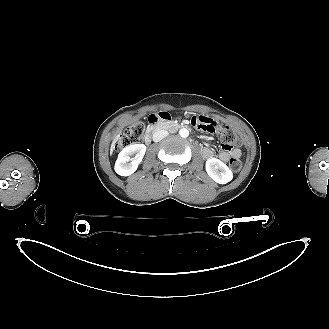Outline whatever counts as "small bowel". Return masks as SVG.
<instances>
[{"label":"small bowel","instance_id":"small-bowel-1","mask_svg":"<svg viewBox=\"0 0 329 329\" xmlns=\"http://www.w3.org/2000/svg\"><path fill=\"white\" fill-rule=\"evenodd\" d=\"M175 119H179V116H175ZM183 119L185 122L190 123L193 125L195 128L202 130L203 133L205 134H211L213 133L216 129L219 128L220 123L216 119H210L206 115H201L198 113H190L187 112L184 114ZM241 152L238 148H233V149H225L218 154V158L221 161H227L230 157H238L240 156ZM202 155L206 159H211L214 157L213 150L210 149L209 147H204L202 149Z\"/></svg>","mask_w":329,"mask_h":329}]
</instances>
